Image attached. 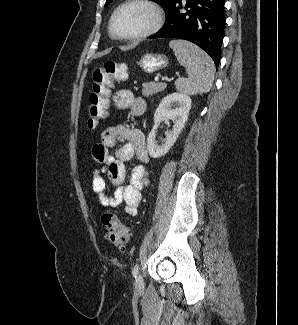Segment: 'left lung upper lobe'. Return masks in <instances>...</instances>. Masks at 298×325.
Here are the masks:
<instances>
[{
  "label": "left lung upper lobe",
  "mask_w": 298,
  "mask_h": 325,
  "mask_svg": "<svg viewBox=\"0 0 298 325\" xmlns=\"http://www.w3.org/2000/svg\"><path fill=\"white\" fill-rule=\"evenodd\" d=\"M112 0H107L105 6H107ZM163 4L166 8L171 4L173 0H155Z\"/></svg>",
  "instance_id": "left-lung-upper-lobe-1"
}]
</instances>
